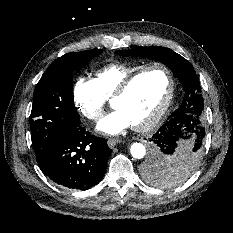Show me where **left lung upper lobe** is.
<instances>
[{
  "instance_id": "obj_1",
  "label": "left lung upper lobe",
  "mask_w": 233,
  "mask_h": 233,
  "mask_svg": "<svg viewBox=\"0 0 233 233\" xmlns=\"http://www.w3.org/2000/svg\"><path fill=\"white\" fill-rule=\"evenodd\" d=\"M115 53L122 56L149 58L168 66L174 76L180 80L185 91L182 104L170 115L168 120L176 119L182 123L184 121L187 123L199 121L201 124L200 119L204 109L201 86L193 66L185 58L171 49L159 46L137 47L125 51L117 50ZM198 160L192 157L181 161L165 160L163 165L167 169L173 170L177 177L182 180L193 171Z\"/></svg>"
}]
</instances>
